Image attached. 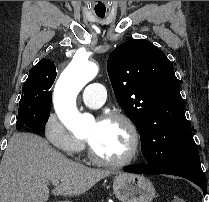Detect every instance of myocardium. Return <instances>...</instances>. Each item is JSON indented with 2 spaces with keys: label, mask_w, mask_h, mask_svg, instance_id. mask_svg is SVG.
Listing matches in <instances>:
<instances>
[{
  "label": "myocardium",
  "mask_w": 209,
  "mask_h": 202,
  "mask_svg": "<svg viewBox=\"0 0 209 202\" xmlns=\"http://www.w3.org/2000/svg\"><path fill=\"white\" fill-rule=\"evenodd\" d=\"M98 121L99 122L119 121L123 123L127 127L130 133L132 145L126 157L120 160H109L99 155V153L95 150L94 146L92 145L91 141L86 138V143L88 146V155L90 159L101 166L115 168V169L123 168L131 164L133 161H135L139 156L140 148H141L140 134L135 123L127 115L119 112L104 114L99 117Z\"/></svg>",
  "instance_id": "1"
}]
</instances>
